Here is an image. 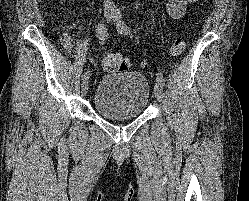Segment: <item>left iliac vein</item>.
Returning a JSON list of instances; mask_svg holds the SVG:
<instances>
[{"instance_id": "4c4485c4", "label": "left iliac vein", "mask_w": 249, "mask_h": 201, "mask_svg": "<svg viewBox=\"0 0 249 201\" xmlns=\"http://www.w3.org/2000/svg\"><path fill=\"white\" fill-rule=\"evenodd\" d=\"M114 21L116 22L117 26L121 22V15L119 12H115ZM154 94L158 101H161L163 98V85L160 82H156L154 85Z\"/></svg>"}]
</instances>
